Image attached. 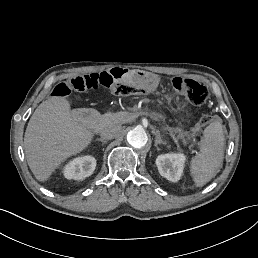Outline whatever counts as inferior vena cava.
I'll return each mask as SVG.
<instances>
[{
	"mask_svg": "<svg viewBox=\"0 0 258 258\" xmlns=\"http://www.w3.org/2000/svg\"><path fill=\"white\" fill-rule=\"evenodd\" d=\"M119 132H120V127L113 124H109L102 129L100 136L103 139L110 140L116 137L119 134Z\"/></svg>",
	"mask_w": 258,
	"mask_h": 258,
	"instance_id": "1",
	"label": "inferior vena cava"
}]
</instances>
